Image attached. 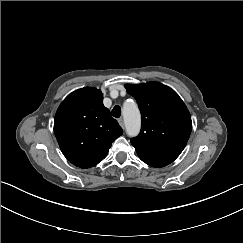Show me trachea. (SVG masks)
Returning <instances> with one entry per match:
<instances>
[{
	"mask_svg": "<svg viewBox=\"0 0 243 243\" xmlns=\"http://www.w3.org/2000/svg\"><path fill=\"white\" fill-rule=\"evenodd\" d=\"M112 116H114L115 118H119L121 116V108H120V106L116 105L112 109Z\"/></svg>",
	"mask_w": 243,
	"mask_h": 243,
	"instance_id": "1",
	"label": "trachea"
}]
</instances>
